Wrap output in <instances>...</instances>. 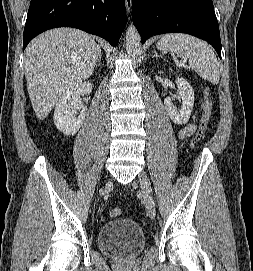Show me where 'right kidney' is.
I'll use <instances>...</instances> for the list:
<instances>
[{"instance_id":"obj_1","label":"right kidney","mask_w":253,"mask_h":271,"mask_svg":"<svg viewBox=\"0 0 253 271\" xmlns=\"http://www.w3.org/2000/svg\"><path fill=\"white\" fill-rule=\"evenodd\" d=\"M92 83L84 82L68 89L56 104L54 111V124L66 136L74 135L83 124L87 108L80 102V96L89 95ZM80 111L78 117L77 111Z\"/></svg>"}]
</instances>
